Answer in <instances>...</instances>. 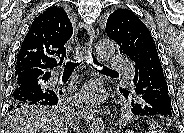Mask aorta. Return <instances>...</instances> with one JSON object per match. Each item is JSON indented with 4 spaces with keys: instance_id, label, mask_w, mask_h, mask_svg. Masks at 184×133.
I'll use <instances>...</instances> for the list:
<instances>
[{
    "instance_id": "obj_1",
    "label": "aorta",
    "mask_w": 184,
    "mask_h": 133,
    "mask_svg": "<svg viewBox=\"0 0 184 133\" xmlns=\"http://www.w3.org/2000/svg\"><path fill=\"white\" fill-rule=\"evenodd\" d=\"M96 53L102 60L110 59L115 53V45L111 41L100 40L95 45ZM89 133H105V124L101 117H95L89 127Z\"/></svg>"
}]
</instances>
